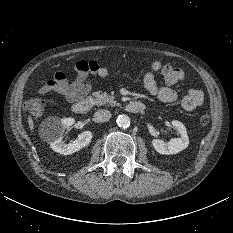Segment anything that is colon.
<instances>
[{"mask_svg":"<svg viewBox=\"0 0 233 233\" xmlns=\"http://www.w3.org/2000/svg\"><path fill=\"white\" fill-rule=\"evenodd\" d=\"M25 110L31 115H41L45 110V101L38 98L29 99L24 104ZM200 123L202 125H207L210 122V116L204 114L200 117Z\"/></svg>","mask_w":233,"mask_h":233,"instance_id":"5ec220e1","label":"colon"}]
</instances>
